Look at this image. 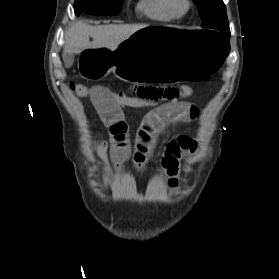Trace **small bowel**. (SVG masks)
I'll return each instance as SVG.
<instances>
[{
  "mask_svg": "<svg viewBox=\"0 0 279 279\" xmlns=\"http://www.w3.org/2000/svg\"><path fill=\"white\" fill-rule=\"evenodd\" d=\"M172 87L136 86L134 92L141 96L159 99L155 107L147 111L137 130L134 146L129 138V127L125 121L122 107L111 98V92L103 86H93L89 99L92 101L102 123L110 133V157L113 164L120 168L131 160L142 171L149 160L158 134L170 123L191 122L199 115L198 107L188 101H169L166 96ZM107 146L96 141L94 149L104 152ZM196 142L188 136L171 140L163 153L161 165L167 177L169 188L176 192L179 184L181 159H189L196 151Z\"/></svg>",
  "mask_w": 279,
  "mask_h": 279,
  "instance_id": "small-bowel-1",
  "label": "small bowel"
}]
</instances>
